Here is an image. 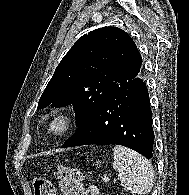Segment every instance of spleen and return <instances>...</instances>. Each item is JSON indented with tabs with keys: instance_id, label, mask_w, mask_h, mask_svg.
I'll list each match as a JSON object with an SVG mask.
<instances>
[{
	"instance_id": "3e777b00",
	"label": "spleen",
	"mask_w": 189,
	"mask_h": 195,
	"mask_svg": "<svg viewBox=\"0 0 189 195\" xmlns=\"http://www.w3.org/2000/svg\"><path fill=\"white\" fill-rule=\"evenodd\" d=\"M113 169L119 172L124 190L133 195L151 192L154 173L151 163L129 148L116 145L113 149Z\"/></svg>"
}]
</instances>
